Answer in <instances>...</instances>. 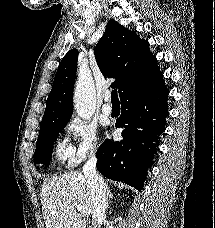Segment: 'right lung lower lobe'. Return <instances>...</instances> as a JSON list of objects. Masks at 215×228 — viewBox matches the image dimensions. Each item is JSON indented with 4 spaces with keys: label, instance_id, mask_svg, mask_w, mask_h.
Listing matches in <instances>:
<instances>
[{
    "label": "right lung lower lobe",
    "instance_id": "right-lung-lower-lobe-1",
    "mask_svg": "<svg viewBox=\"0 0 215 228\" xmlns=\"http://www.w3.org/2000/svg\"><path fill=\"white\" fill-rule=\"evenodd\" d=\"M168 89L162 74L131 83L121 98V116L116 127H124L123 140L106 139L97 151V169L111 180L122 181L139 191L147 169L165 131Z\"/></svg>",
    "mask_w": 215,
    "mask_h": 228
}]
</instances>
